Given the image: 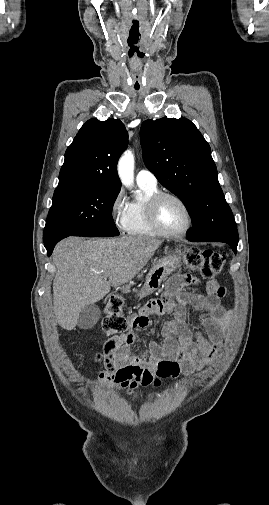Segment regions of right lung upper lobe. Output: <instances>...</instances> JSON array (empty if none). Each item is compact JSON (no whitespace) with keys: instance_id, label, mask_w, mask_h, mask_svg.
I'll use <instances>...</instances> for the list:
<instances>
[{"instance_id":"right-lung-upper-lobe-1","label":"right lung upper lobe","mask_w":269,"mask_h":505,"mask_svg":"<svg viewBox=\"0 0 269 505\" xmlns=\"http://www.w3.org/2000/svg\"><path fill=\"white\" fill-rule=\"evenodd\" d=\"M128 133L118 119L88 120L65 152L57 188L71 185L119 188L117 161Z\"/></svg>"}]
</instances>
